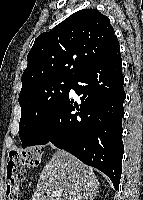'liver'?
<instances>
[{"label": "liver", "instance_id": "liver-1", "mask_svg": "<svg viewBox=\"0 0 143 200\" xmlns=\"http://www.w3.org/2000/svg\"><path fill=\"white\" fill-rule=\"evenodd\" d=\"M99 186L92 168L59 150L43 168L32 200H94Z\"/></svg>", "mask_w": 143, "mask_h": 200}]
</instances>
